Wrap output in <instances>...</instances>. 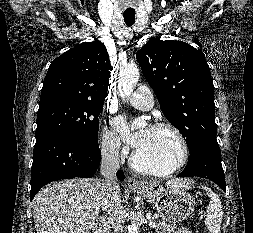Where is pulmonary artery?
Wrapping results in <instances>:
<instances>
[{
	"label": "pulmonary artery",
	"instance_id": "obj_1",
	"mask_svg": "<svg viewBox=\"0 0 253 233\" xmlns=\"http://www.w3.org/2000/svg\"><path fill=\"white\" fill-rule=\"evenodd\" d=\"M129 103L143 111H148L154 106V96L149 88L139 87L128 99Z\"/></svg>",
	"mask_w": 253,
	"mask_h": 233
}]
</instances>
